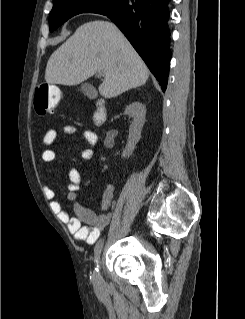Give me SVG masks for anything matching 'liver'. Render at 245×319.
<instances>
[{"label": "liver", "instance_id": "1", "mask_svg": "<svg viewBox=\"0 0 245 319\" xmlns=\"http://www.w3.org/2000/svg\"><path fill=\"white\" fill-rule=\"evenodd\" d=\"M104 72L100 94L113 98L142 86L149 70L123 33L111 22L95 20L82 24L50 56L45 80L50 84L73 86L97 71Z\"/></svg>", "mask_w": 245, "mask_h": 319}]
</instances>
